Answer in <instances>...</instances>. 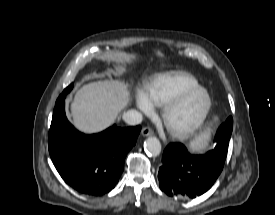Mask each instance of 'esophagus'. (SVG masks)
<instances>
[{
    "label": "esophagus",
    "mask_w": 275,
    "mask_h": 215,
    "mask_svg": "<svg viewBox=\"0 0 275 215\" xmlns=\"http://www.w3.org/2000/svg\"><path fill=\"white\" fill-rule=\"evenodd\" d=\"M142 136L147 137L154 134L153 130L150 127H144L141 131Z\"/></svg>",
    "instance_id": "esophagus-1"
}]
</instances>
